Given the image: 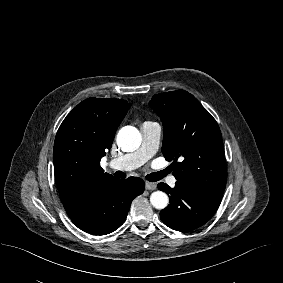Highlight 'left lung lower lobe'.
Returning <instances> with one entry per match:
<instances>
[{
  "label": "left lung lower lobe",
  "instance_id": "obj_1",
  "mask_svg": "<svg viewBox=\"0 0 283 283\" xmlns=\"http://www.w3.org/2000/svg\"><path fill=\"white\" fill-rule=\"evenodd\" d=\"M158 188L170 198L160 217L165 225L177 231L187 232L204 225L221 203V198L206 195L181 181L174 188L164 183H159Z\"/></svg>",
  "mask_w": 283,
  "mask_h": 283
}]
</instances>
